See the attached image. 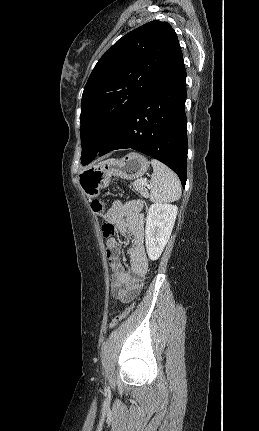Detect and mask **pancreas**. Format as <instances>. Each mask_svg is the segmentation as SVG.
<instances>
[{"mask_svg": "<svg viewBox=\"0 0 259 431\" xmlns=\"http://www.w3.org/2000/svg\"><path fill=\"white\" fill-rule=\"evenodd\" d=\"M133 188L138 191L142 197L144 198H149V193L148 190L146 188V184H140L139 181H135L132 183Z\"/></svg>", "mask_w": 259, "mask_h": 431, "instance_id": "cf45deb5", "label": "pancreas"}]
</instances>
